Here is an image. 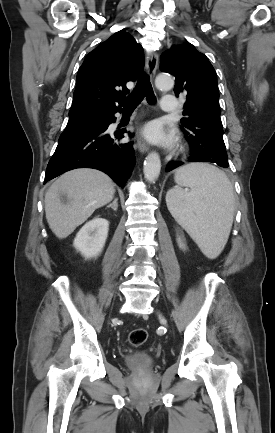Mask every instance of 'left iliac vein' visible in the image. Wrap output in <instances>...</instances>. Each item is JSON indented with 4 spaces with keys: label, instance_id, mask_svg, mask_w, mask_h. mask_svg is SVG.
<instances>
[{
    "label": "left iliac vein",
    "instance_id": "left-iliac-vein-1",
    "mask_svg": "<svg viewBox=\"0 0 275 433\" xmlns=\"http://www.w3.org/2000/svg\"><path fill=\"white\" fill-rule=\"evenodd\" d=\"M158 316H159L161 324L164 325V326H167V321L164 318V316L162 314H160V313L158 314Z\"/></svg>",
    "mask_w": 275,
    "mask_h": 433
}]
</instances>
